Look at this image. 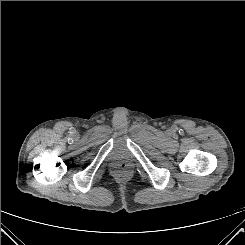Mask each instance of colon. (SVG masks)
<instances>
[{"label": "colon", "mask_w": 245, "mask_h": 245, "mask_svg": "<svg viewBox=\"0 0 245 245\" xmlns=\"http://www.w3.org/2000/svg\"><path fill=\"white\" fill-rule=\"evenodd\" d=\"M128 169V165L123 163L119 166V170L125 172Z\"/></svg>", "instance_id": "5ec220e1"}]
</instances>
